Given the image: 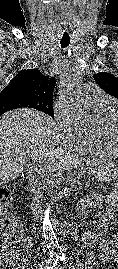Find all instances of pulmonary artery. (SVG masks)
Listing matches in <instances>:
<instances>
[{"instance_id": "obj_1", "label": "pulmonary artery", "mask_w": 118, "mask_h": 269, "mask_svg": "<svg viewBox=\"0 0 118 269\" xmlns=\"http://www.w3.org/2000/svg\"><path fill=\"white\" fill-rule=\"evenodd\" d=\"M104 94L95 84H87L82 94V103L84 106L100 110L104 103Z\"/></svg>"}]
</instances>
